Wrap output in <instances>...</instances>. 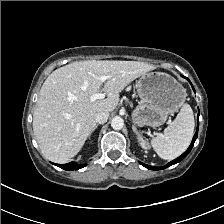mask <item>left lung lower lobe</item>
Wrapping results in <instances>:
<instances>
[{
  "instance_id": "obj_1",
  "label": "left lung lower lobe",
  "mask_w": 224,
  "mask_h": 224,
  "mask_svg": "<svg viewBox=\"0 0 224 224\" xmlns=\"http://www.w3.org/2000/svg\"><path fill=\"white\" fill-rule=\"evenodd\" d=\"M186 79L189 81L188 78H186ZM189 82H190V81H189ZM197 135H198V126H197V131H196V133H195V135H194V137H193L192 143H191V145L189 146V148H188V149H187V150H186L180 157H178L177 159H175V160L169 162L167 165H165V166H163V167H153V166H149V165H146V164H144V163H141V162H140V164L143 165L144 167L148 168V169H151V170H161V169H165V168H167V167H169V166H171V165H173V164H176V163L180 162V161L183 160V159L188 155V153L191 151V149H192V147H193V145H194V142H195V140H196V138H197Z\"/></svg>"
}]
</instances>
